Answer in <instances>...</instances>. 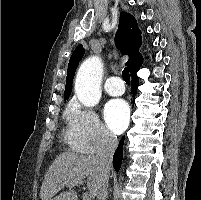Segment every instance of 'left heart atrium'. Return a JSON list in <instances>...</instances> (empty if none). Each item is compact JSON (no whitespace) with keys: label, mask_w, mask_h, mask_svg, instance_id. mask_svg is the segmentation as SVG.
Segmentation results:
<instances>
[{"label":"left heart atrium","mask_w":201,"mask_h":200,"mask_svg":"<svg viewBox=\"0 0 201 200\" xmlns=\"http://www.w3.org/2000/svg\"><path fill=\"white\" fill-rule=\"evenodd\" d=\"M107 126L114 133H121L129 122V107L122 99L111 100L104 109Z\"/></svg>","instance_id":"obj_1"}]
</instances>
